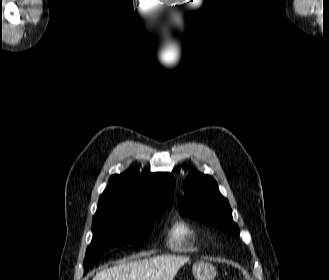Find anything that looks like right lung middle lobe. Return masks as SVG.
Masks as SVG:
<instances>
[{"mask_svg": "<svg viewBox=\"0 0 329 280\" xmlns=\"http://www.w3.org/2000/svg\"><path fill=\"white\" fill-rule=\"evenodd\" d=\"M169 201L155 202L148 208L121 202L99 204L93 217V238L84 259V274L104 250L142 242L160 219Z\"/></svg>", "mask_w": 329, "mask_h": 280, "instance_id": "right-lung-middle-lobe-1", "label": "right lung middle lobe"}]
</instances>
